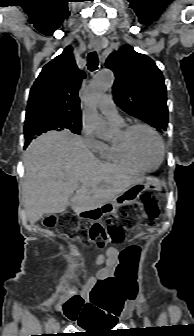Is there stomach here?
<instances>
[{
    "label": "stomach",
    "instance_id": "0dacf381",
    "mask_svg": "<svg viewBox=\"0 0 194 336\" xmlns=\"http://www.w3.org/2000/svg\"><path fill=\"white\" fill-rule=\"evenodd\" d=\"M160 188L161 185L154 180H147L146 182H141L118 195L113 201L105 203L94 209L80 211L77 213V216L80 219L97 221L101 219L105 214L115 213L118 206L134 202L142 191L147 189L159 191Z\"/></svg>",
    "mask_w": 194,
    "mask_h": 336
}]
</instances>
